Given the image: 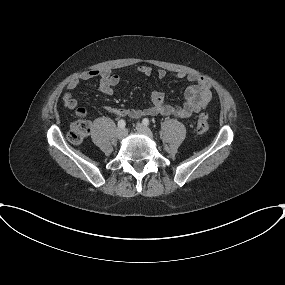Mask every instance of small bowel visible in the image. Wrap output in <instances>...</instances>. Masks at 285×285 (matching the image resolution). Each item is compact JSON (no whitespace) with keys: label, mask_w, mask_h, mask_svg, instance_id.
<instances>
[{"label":"small bowel","mask_w":285,"mask_h":285,"mask_svg":"<svg viewBox=\"0 0 285 285\" xmlns=\"http://www.w3.org/2000/svg\"><path fill=\"white\" fill-rule=\"evenodd\" d=\"M137 72L144 76H149L152 74V68L148 65H141L137 68ZM166 74L164 69H159L156 72L159 79L165 78ZM97 77L99 78L98 90L107 96H112L114 94V87L120 83L121 78L118 74H114L109 70H90L83 72L72 78L67 88L68 90H73L81 82ZM175 77L178 79H186L191 83L185 91V103L182 106L166 103L165 95L162 91H153L151 94V104L147 108L106 107L105 109L118 117L139 118L142 116L166 115L187 119L203 110L212 100V86L206 78L186 72H178L175 74ZM63 102L68 109H76L75 114L77 117L82 118L86 115L84 108H77V99L70 91L65 92L63 95Z\"/></svg>","instance_id":"1"}]
</instances>
